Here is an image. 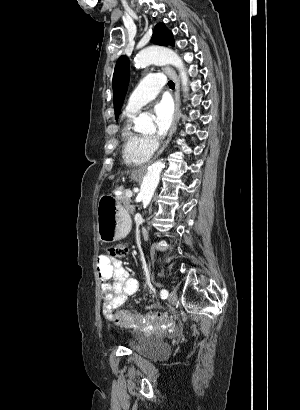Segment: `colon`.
Wrapping results in <instances>:
<instances>
[{"label": "colon", "mask_w": 300, "mask_h": 410, "mask_svg": "<svg viewBox=\"0 0 300 410\" xmlns=\"http://www.w3.org/2000/svg\"><path fill=\"white\" fill-rule=\"evenodd\" d=\"M108 252L110 256L114 258H123L127 255L128 248L126 245L117 244L109 247ZM171 319V316L166 314L151 313L146 316H141L139 314H132L126 311H120L116 313L114 321L115 324L120 327L132 328L145 323H147L148 325L161 324L170 321Z\"/></svg>", "instance_id": "5ec220e1"}]
</instances>
